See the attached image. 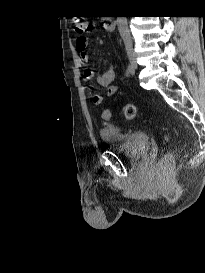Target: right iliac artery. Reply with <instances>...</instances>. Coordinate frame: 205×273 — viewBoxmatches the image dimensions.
I'll use <instances>...</instances> for the list:
<instances>
[{
  "mask_svg": "<svg viewBox=\"0 0 205 273\" xmlns=\"http://www.w3.org/2000/svg\"><path fill=\"white\" fill-rule=\"evenodd\" d=\"M127 72H128V74H130V75H134V68L132 67V65H128V67H127Z\"/></svg>",
  "mask_w": 205,
  "mask_h": 273,
  "instance_id": "1",
  "label": "right iliac artery"
}]
</instances>
